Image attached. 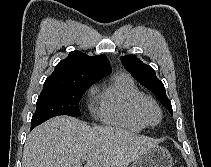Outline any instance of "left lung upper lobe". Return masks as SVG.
Wrapping results in <instances>:
<instances>
[{
  "mask_svg": "<svg viewBox=\"0 0 211 167\" xmlns=\"http://www.w3.org/2000/svg\"><path fill=\"white\" fill-rule=\"evenodd\" d=\"M121 61L125 68L133 75V77L149 89L158 100L172 113L170 100L167 98L163 83L156 77L154 69L144 64L135 55H126L121 57Z\"/></svg>",
  "mask_w": 211,
  "mask_h": 167,
  "instance_id": "5c2ea615",
  "label": "left lung upper lobe"
}]
</instances>
